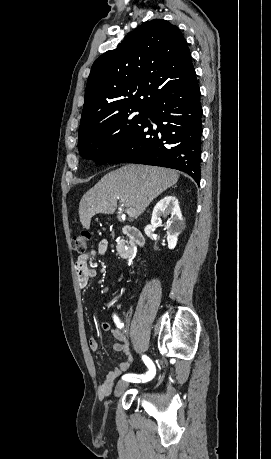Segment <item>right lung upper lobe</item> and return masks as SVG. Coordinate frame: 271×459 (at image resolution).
Wrapping results in <instances>:
<instances>
[{
	"label": "right lung upper lobe",
	"mask_w": 271,
	"mask_h": 459,
	"mask_svg": "<svg viewBox=\"0 0 271 459\" xmlns=\"http://www.w3.org/2000/svg\"><path fill=\"white\" fill-rule=\"evenodd\" d=\"M195 74L185 38L163 19L143 23L94 62L81 122L147 105Z\"/></svg>",
	"instance_id": "cb5924a9"
}]
</instances>
